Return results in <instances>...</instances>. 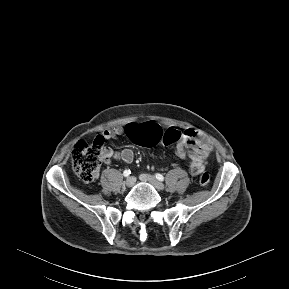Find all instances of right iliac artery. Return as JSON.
I'll return each instance as SVG.
<instances>
[{
    "instance_id": "82829eb1",
    "label": "right iliac artery",
    "mask_w": 289,
    "mask_h": 289,
    "mask_svg": "<svg viewBox=\"0 0 289 289\" xmlns=\"http://www.w3.org/2000/svg\"><path fill=\"white\" fill-rule=\"evenodd\" d=\"M130 174H131L130 169H126V170H124V172H123V175H124L125 177H128Z\"/></svg>"
}]
</instances>
